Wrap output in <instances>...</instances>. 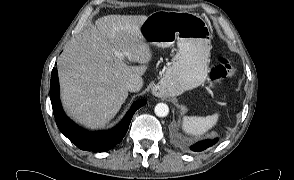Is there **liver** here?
Returning <instances> with one entry per match:
<instances>
[{
  "mask_svg": "<svg viewBox=\"0 0 294 180\" xmlns=\"http://www.w3.org/2000/svg\"><path fill=\"white\" fill-rule=\"evenodd\" d=\"M147 17L103 16L66 44L57 61L61 99L80 124L104 127L127 99V82L146 72L152 55L140 26Z\"/></svg>",
  "mask_w": 294,
  "mask_h": 180,
  "instance_id": "obj_1",
  "label": "liver"
}]
</instances>
